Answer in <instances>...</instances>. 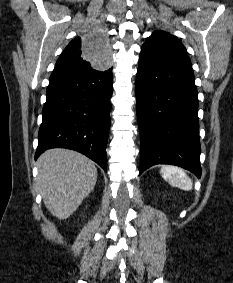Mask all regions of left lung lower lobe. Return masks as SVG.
<instances>
[{
    "mask_svg": "<svg viewBox=\"0 0 233 283\" xmlns=\"http://www.w3.org/2000/svg\"><path fill=\"white\" fill-rule=\"evenodd\" d=\"M187 54L143 48L136 77L139 175L172 164L201 176L198 93Z\"/></svg>",
    "mask_w": 233,
    "mask_h": 283,
    "instance_id": "left-lung-lower-lobe-1",
    "label": "left lung lower lobe"
}]
</instances>
